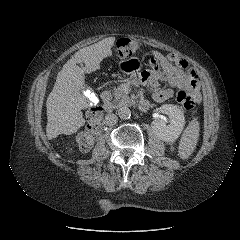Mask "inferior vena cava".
Listing matches in <instances>:
<instances>
[{
    "instance_id": "602c4592",
    "label": "inferior vena cava",
    "mask_w": 240,
    "mask_h": 240,
    "mask_svg": "<svg viewBox=\"0 0 240 240\" xmlns=\"http://www.w3.org/2000/svg\"><path fill=\"white\" fill-rule=\"evenodd\" d=\"M117 116L113 113L107 114L104 119V123L108 126H113L117 123Z\"/></svg>"
}]
</instances>
